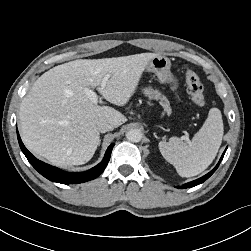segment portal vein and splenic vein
<instances>
[{
    "label": "portal vein and splenic vein",
    "instance_id": "18ae733b",
    "mask_svg": "<svg viewBox=\"0 0 251 251\" xmlns=\"http://www.w3.org/2000/svg\"><path fill=\"white\" fill-rule=\"evenodd\" d=\"M107 79H108V77L104 78V80L102 81V83H101V88H102V89L105 88ZM84 92H85L86 96L91 100V102H92L93 104L96 105V104L98 103L99 96H98L95 92H93L92 90H90V89H88V88H86V89L84 90ZM185 138H186L187 141L189 140L188 137H185Z\"/></svg>",
    "mask_w": 251,
    "mask_h": 251
}]
</instances>
